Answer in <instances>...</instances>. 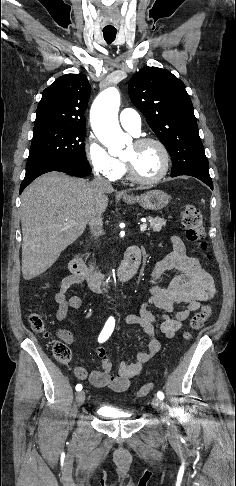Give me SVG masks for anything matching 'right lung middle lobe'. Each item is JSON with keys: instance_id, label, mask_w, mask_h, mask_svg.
<instances>
[{"instance_id": "right-lung-middle-lobe-1", "label": "right lung middle lobe", "mask_w": 236, "mask_h": 486, "mask_svg": "<svg viewBox=\"0 0 236 486\" xmlns=\"http://www.w3.org/2000/svg\"><path fill=\"white\" fill-rule=\"evenodd\" d=\"M85 135L86 128L36 127L33 129L28 160L54 158L87 162Z\"/></svg>"}]
</instances>
